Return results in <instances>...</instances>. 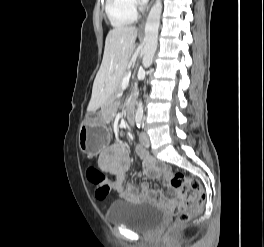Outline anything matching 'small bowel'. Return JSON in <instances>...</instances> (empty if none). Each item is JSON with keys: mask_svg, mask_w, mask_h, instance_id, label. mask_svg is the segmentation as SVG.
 Segmentation results:
<instances>
[{"mask_svg": "<svg viewBox=\"0 0 264 247\" xmlns=\"http://www.w3.org/2000/svg\"><path fill=\"white\" fill-rule=\"evenodd\" d=\"M136 153L141 158L144 165V175L150 178H161L166 186L168 193L179 199L182 195L176 193L168 185L171 175L169 166L155 159L146 149L136 148ZM98 165L101 170L110 173L114 180L111 187L121 197L125 199L147 198L157 201H164L165 196L162 193L151 190L147 184H142L141 191H138L133 185L125 184L126 173L130 168L131 160L128 149L121 143H115L104 149L98 158Z\"/></svg>", "mask_w": 264, "mask_h": 247, "instance_id": "1", "label": "small bowel"}]
</instances>
